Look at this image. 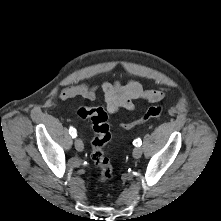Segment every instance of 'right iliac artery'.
<instances>
[{"label":"right iliac artery","instance_id":"obj_1","mask_svg":"<svg viewBox=\"0 0 221 221\" xmlns=\"http://www.w3.org/2000/svg\"><path fill=\"white\" fill-rule=\"evenodd\" d=\"M69 133H70V135L72 136V138H75V137L77 136L76 130L73 129L72 127L69 129Z\"/></svg>","mask_w":221,"mask_h":221}]
</instances>
